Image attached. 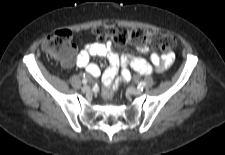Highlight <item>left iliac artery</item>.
I'll list each match as a JSON object with an SVG mask.
<instances>
[{
  "mask_svg": "<svg viewBox=\"0 0 225 155\" xmlns=\"http://www.w3.org/2000/svg\"><path fill=\"white\" fill-rule=\"evenodd\" d=\"M146 86V83L145 82H140L139 85H138V88L143 90V88Z\"/></svg>",
  "mask_w": 225,
  "mask_h": 155,
  "instance_id": "obj_1",
  "label": "left iliac artery"
}]
</instances>
